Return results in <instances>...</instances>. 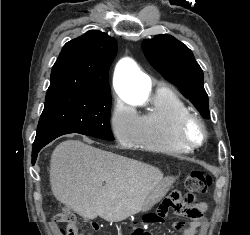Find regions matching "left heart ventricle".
<instances>
[{
    "instance_id": "b2bd125f",
    "label": "left heart ventricle",
    "mask_w": 250,
    "mask_h": 235,
    "mask_svg": "<svg viewBox=\"0 0 250 235\" xmlns=\"http://www.w3.org/2000/svg\"><path fill=\"white\" fill-rule=\"evenodd\" d=\"M188 136L192 141H197L199 140L201 136L200 129L196 125H191L188 129Z\"/></svg>"
}]
</instances>
